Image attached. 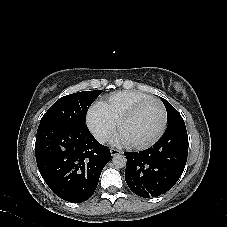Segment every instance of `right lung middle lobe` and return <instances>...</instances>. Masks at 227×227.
<instances>
[{"label": "right lung middle lobe", "instance_id": "1", "mask_svg": "<svg viewBox=\"0 0 227 227\" xmlns=\"http://www.w3.org/2000/svg\"><path fill=\"white\" fill-rule=\"evenodd\" d=\"M102 90L82 91L66 95L57 100L44 114L40 124L82 126L90 105Z\"/></svg>", "mask_w": 227, "mask_h": 227}]
</instances>
